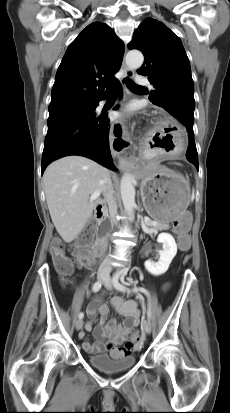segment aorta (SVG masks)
I'll return each mask as SVG.
<instances>
[{"instance_id": "obj_1", "label": "aorta", "mask_w": 230, "mask_h": 413, "mask_svg": "<svg viewBox=\"0 0 230 413\" xmlns=\"http://www.w3.org/2000/svg\"><path fill=\"white\" fill-rule=\"evenodd\" d=\"M126 64L129 69L135 70L142 66L144 57L138 50L129 51L126 55ZM135 179L132 174L125 173L120 182V192L125 211L130 217L134 216L135 203Z\"/></svg>"}]
</instances>
